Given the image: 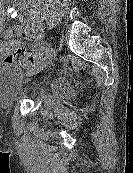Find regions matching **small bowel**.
<instances>
[{
  "mask_svg": "<svg viewBox=\"0 0 133 173\" xmlns=\"http://www.w3.org/2000/svg\"><path fill=\"white\" fill-rule=\"evenodd\" d=\"M39 5L40 0H22L21 7H30L27 17L21 18V25L10 29L7 32V36H20L25 40H32L36 37L39 27H40V17H39ZM4 12L0 9V26L4 22ZM2 50H7L8 45L2 43ZM31 58H35L30 55Z\"/></svg>",
  "mask_w": 133,
  "mask_h": 173,
  "instance_id": "c3829d8e",
  "label": "small bowel"
}]
</instances>
